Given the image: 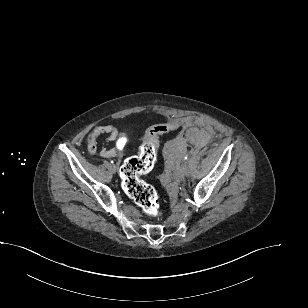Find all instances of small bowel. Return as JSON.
<instances>
[{
	"label": "small bowel",
	"mask_w": 308,
	"mask_h": 308,
	"mask_svg": "<svg viewBox=\"0 0 308 308\" xmlns=\"http://www.w3.org/2000/svg\"><path fill=\"white\" fill-rule=\"evenodd\" d=\"M196 121L193 118L187 117L180 121V125L184 127H190L194 125ZM101 136H106L108 141H111L117 136V129L112 125H104L95 128L87 137L86 146L90 155H94L97 152V141ZM117 154L116 149H108L103 147L101 149V155L105 157H112Z\"/></svg>",
	"instance_id": "small-bowel-1"
}]
</instances>
